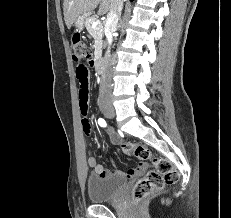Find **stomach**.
Masks as SVG:
<instances>
[{
	"label": "stomach",
	"mask_w": 231,
	"mask_h": 218,
	"mask_svg": "<svg viewBox=\"0 0 231 218\" xmlns=\"http://www.w3.org/2000/svg\"><path fill=\"white\" fill-rule=\"evenodd\" d=\"M85 15H80L74 22V26L76 28V30L78 31H82L84 28V19H85Z\"/></svg>",
	"instance_id": "stomach-1"
}]
</instances>
